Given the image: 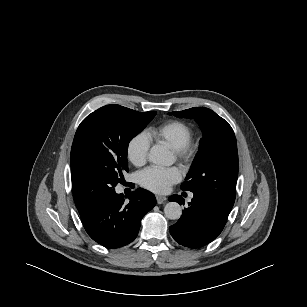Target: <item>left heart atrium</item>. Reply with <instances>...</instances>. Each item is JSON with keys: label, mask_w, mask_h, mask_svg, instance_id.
<instances>
[{"label": "left heart atrium", "mask_w": 307, "mask_h": 307, "mask_svg": "<svg viewBox=\"0 0 307 307\" xmlns=\"http://www.w3.org/2000/svg\"><path fill=\"white\" fill-rule=\"evenodd\" d=\"M181 171L176 167L167 169L149 167L138 174L139 184L155 193H165L170 186L179 182Z\"/></svg>", "instance_id": "left-heart-atrium-1"}]
</instances>
